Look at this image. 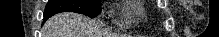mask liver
Here are the masks:
<instances>
[{
    "label": "liver",
    "instance_id": "obj_1",
    "mask_svg": "<svg viewBox=\"0 0 219 37\" xmlns=\"http://www.w3.org/2000/svg\"><path fill=\"white\" fill-rule=\"evenodd\" d=\"M47 37H98L94 20L76 13H59L51 17L44 26Z\"/></svg>",
    "mask_w": 219,
    "mask_h": 37
}]
</instances>
